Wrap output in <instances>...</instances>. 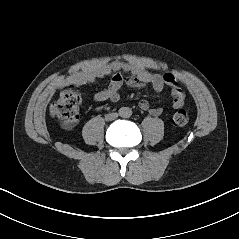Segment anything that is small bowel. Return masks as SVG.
Listing matches in <instances>:
<instances>
[{"instance_id": "c3829d8e", "label": "small bowel", "mask_w": 239, "mask_h": 239, "mask_svg": "<svg viewBox=\"0 0 239 239\" xmlns=\"http://www.w3.org/2000/svg\"><path fill=\"white\" fill-rule=\"evenodd\" d=\"M123 72L128 75L123 77ZM108 74L112 75L111 81L105 89L96 93L95 98L98 101H117L119 99V90L123 84L130 87H143L150 84L157 91L162 90L165 86L171 88L173 108L179 109L185 103V95L182 89L178 86L177 79L173 74L162 75L151 73L138 63L115 61L102 65L97 69L77 71L71 78L75 81L86 83L94 81L97 76ZM139 107L143 110L149 111L153 116H158L162 113L160 107H150V104L146 100L140 101Z\"/></svg>"}]
</instances>
